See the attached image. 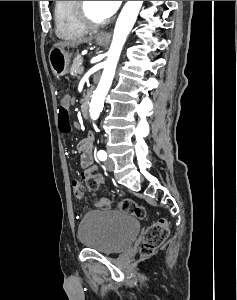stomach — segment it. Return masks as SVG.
<instances>
[{"label": "stomach", "mask_w": 237, "mask_h": 300, "mask_svg": "<svg viewBox=\"0 0 237 300\" xmlns=\"http://www.w3.org/2000/svg\"><path fill=\"white\" fill-rule=\"evenodd\" d=\"M96 43H98V45H106L108 41H98V39H96ZM70 59L71 53H68V51H65V49H58V47L51 49L49 53V63L56 77L67 75L69 71Z\"/></svg>", "instance_id": "0dacf381"}]
</instances>
